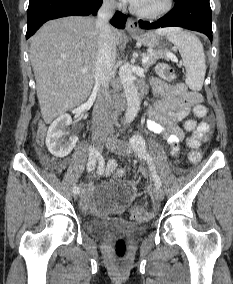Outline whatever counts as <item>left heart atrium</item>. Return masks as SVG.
I'll use <instances>...</instances> for the list:
<instances>
[{"instance_id": "left-heart-atrium-1", "label": "left heart atrium", "mask_w": 233, "mask_h": 284, "mask_svg": "<svg viewBox=\"0 0 233 284\" xmlns=\"http://www.w3.org/2000/svg\"><path fill=\"white\" fill-rule=\"evenodd\" d=\"M123 1L128 2L134 6H139L143 0H123Z\"/></svg>"}]
</instances>
